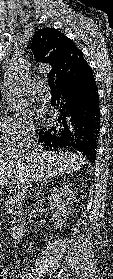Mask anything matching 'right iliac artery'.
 <instances>
[{"label":"right iliac artery","instance_id":"82829eb1","mask_svg":"<svg viewBox=\"0 0 113 279\" xmlns=\"http://www.w3.org/2000/svg\"><path fill=\"white\" fill-rule=\"evenodd\" d=\"M20 277H21L22 279H30V278H31V274L22 271V273L20 274Z\"/></svg>","mask_w":113,"mask_h":279}]
</instances>
